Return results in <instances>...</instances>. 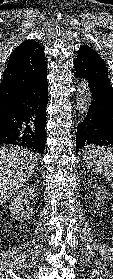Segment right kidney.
Masks as SVG:
<instances>
[{
  "label": "right kidney",
  "mask_w": 113,
  "mask_h": 279,
  "mask_svg": "<svg viewBox=\"0 0 113 279\" xmlns=\"http://www.w3.org/2000/svg\"><path fill=\"white\" fill-rule=\"evenodd\" d=\"M35 202V192L31 186L22 189L9 206L12 217L15 220L23 222V220L29 219L33 212V204Z\"/></svg>",
  "instance_id": "1"
}]
</instances>
